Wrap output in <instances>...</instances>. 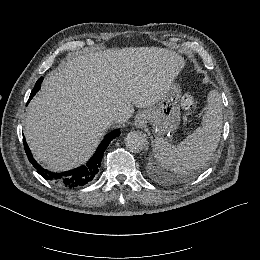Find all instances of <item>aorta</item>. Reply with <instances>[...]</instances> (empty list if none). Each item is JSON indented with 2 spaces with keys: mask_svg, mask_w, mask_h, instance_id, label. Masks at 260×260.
<instances>
[{
  "mask_svg": "<svg viewBox=\"0 0 260 260\" xmlns=\"http://www.w3.org/2000/svg\"><path fill=\"white\" fill-rule=\"evenodd\" d=\"M147 136L142 132H130L125 138V145L130 152L139 153L147 147Z\"/></svg>",
  "mask_w": 260,
  "mask_h": 260,
  "instance_id": "obj_1",
  "label": "aorta"
}]
</instances>
